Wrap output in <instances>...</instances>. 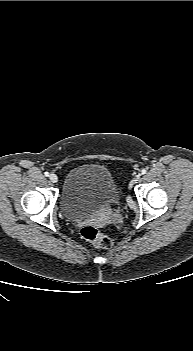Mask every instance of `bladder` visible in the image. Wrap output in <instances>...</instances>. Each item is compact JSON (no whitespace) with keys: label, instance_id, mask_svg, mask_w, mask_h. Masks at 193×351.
I'll list each match as a JSON object with an SVG mask.
<instances>
[{"label":"bladder","instance_id":"bladder-1","mask_svg":"<svg viewBox=\"0 0 193 351\" xmlns=\"http://www.w3.org/2000/svg\"><path fill=\"white\" fill-rule=\"evenodd\" d=\"M120 201V189L111 172L101 164H83L65 177L60 207L70 220L95 216Z\"/></svg>","mask_w":193,"mask_h":351}]
</instances>
